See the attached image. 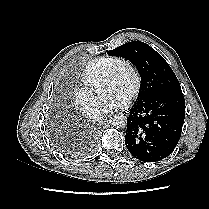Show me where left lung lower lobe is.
Wrapping results in <instances>:
<instances>
[{
  "instance_id": "1",
  "label": "left lung lower lobe",
  "mask_w": 209,
  "mask_h": 209,
  "mask_svg": "<svg viewBox=\"0 0 209 209\" xmlns=\"http://www.w3.org/2000/svg\"><path fill=\"white\" fill-rule=\"evenodd\" d=\"M184 118L185 99L181 87L135 103L127 118L126 147L140 161H161L175 149Z\"/></svg>"
}]
</instances>
